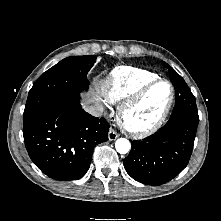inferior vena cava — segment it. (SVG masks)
I'll return each mask as SVG.
<instances>
[{
    "label": "inferior vena cava",
    "instance_id": "602c4592",
    "mask_svg": "<svg viewBox=\"0 0 221 221\" xmlns=\"http://www.w3.org/2000/svg\"><path fill=\"white\" fill-rule=\"evenodd\" d=\"M86 112L89 114L96 116V117H101L103 114V107L102 106H87L84 108Z\"/></svg>",
    "mask_w": 221,
    "mask_h": 221
}]
</instances>
